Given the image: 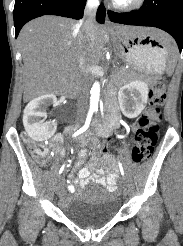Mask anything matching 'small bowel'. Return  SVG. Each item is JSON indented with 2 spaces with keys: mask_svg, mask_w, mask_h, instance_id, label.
<instances>
[{
  "mask_svg": "<svg viewBox=\"0 0 183 246\" xmlns=\"http://www.w3.org/2000/svg\"><path fill=\"white\" fill-rule=\"evenodd\" d=\"M113 126L108 124V125H103L100 127L96 128V132L100 136L107 135L109 132H111ZM63 138L60 135H56L53 137L51 140V145L59 150V145L62 143ZM96 153L98 151H95ZM86 150L81 149L78 152V158L77 161L75 162L74 166L71 169V174L75 173L77 171L78 179L74 181V184H69L67 189L70 193H73L76 189V187H84L88 184L91 183H98L103 186H107L110 190H114L116 187V182L118 179V174L115 170L114 167V162L112 157L109 155V157H104V161L108 164L109 167V173L107 175H102L101 172L99 171V159L96 156L94 160L89 164L88 167L81 168V165L83 164L85 158H86Z\"/></svg>",
  "mask_w": 183,
  "mask_h": 246,
  "instance_id": "c3829d8e",
  "label": "small bowel"
}]
</instances>
